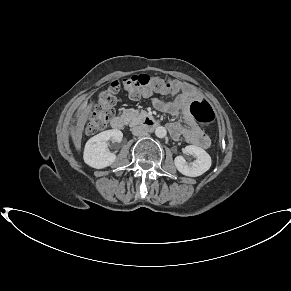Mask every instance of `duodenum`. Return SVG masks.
Wrapping results in <instances>:
<instances>
[{
    "label": "duodenum",
    "mask_w": 291,
    "mask_h": 291,
    "mask_svg": "<svg viewBox=\"0 0 291 291\" xmlns=\"http://www.w3.org/2000/svg\"><path fill=\"white\" fill-rule=\"evenodd\" d=\"M126 119L122 115H117L113 117L111 121V125L114 129L120 130L125 126ZM141 124L144 127H147L149 129H154L158 126V123L155 119H153L151 116H144L141 119Z\"/></svg>",
    "instance_id": "410a0bca"
}]
</instances>
